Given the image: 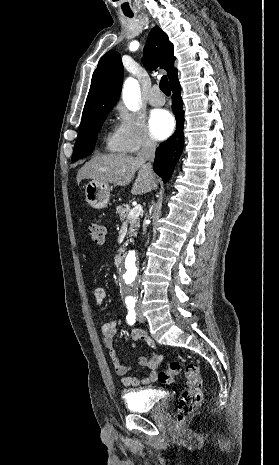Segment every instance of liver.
I'll return each mask as SVG.
<instances>
[{
    "mask_svg": "<svg viewBox=\"0 0 279 465\" xmlns=\"http://www.w3.org/2000/svg\"><path fill=\"white\" fill-rule=\"evenodd\" d=\"M138 176L132 186L131 193L140 195L157 189V180L145 163L138 157L121 153L96 155L86 162L77 173V183L83 179L112 183L119 186L128 185L135 172Z\"/></svg>",
    "mask_w": 279,
    "mask_h": 465,
    "instance_id": "obj_1",
    "label": "liver"
}]
</instances>
